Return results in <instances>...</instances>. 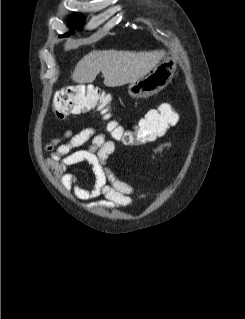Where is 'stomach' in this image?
Returning <instances> with one entry per match:
<instances>
[{"instance_id": "obj_1", "label": "stomach", "mask_w": 245, "mask_h": 319, "mask_svg": "<svg viewBox=\"0 0 245 319\" xmlns=\"http://www.w3.org/2000/svg\"><path fill=\"white\" fill-rule=\"evenodd\" d=\"M175 70V61L169 55H164L153 69L129 84V96L137 99L148 98L158 93L169 84Z\"/></svg>"}]
</instances>
